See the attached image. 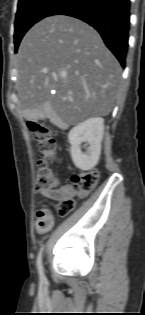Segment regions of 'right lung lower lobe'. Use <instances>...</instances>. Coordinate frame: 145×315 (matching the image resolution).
<instances>
[{
	"mask_svg": "<svg viewBox=\"0 0 145 315\" xmlns=\"http://www.w3.org/2000/svg\"><path fill=\"white\" fill-rule=\"evenodd\" d=\"M52 15L72 16L93 26L121 65L125 66L130 0H67Z\"/></svg>",
	"mask_w": 145,
	"mask_h": 315,
	"instance_id": "obj_1",
	"label": "right lung lower lobe"
}]
</instances>
